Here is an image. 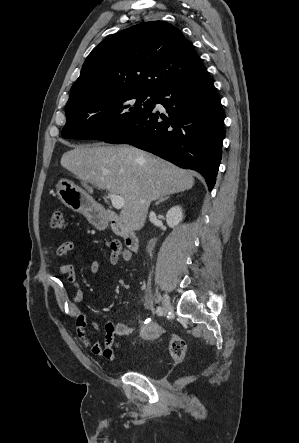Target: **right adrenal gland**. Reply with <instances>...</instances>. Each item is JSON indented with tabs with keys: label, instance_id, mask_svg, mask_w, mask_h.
Here are the masks:
<instances>
[{
	"label": "right adrenal gland",
	"instance_id": "2a0ac1e0",
	"mask_svg": "<svg viewBox=\"0 0 299 443\" xmlns=\"http://www.w3.org/2000/svg\"><path fill=\"white\" fill-rule=\"evenodd\" d=\"M170 198V196H166V197H164V198H160L156 203H155V205L157 206L158 204H160L161 202H164L165 200H167V199H169Z\"/></svg>",
	"mask_w": 299,
	"mask_h": 443
}]
</instances>
